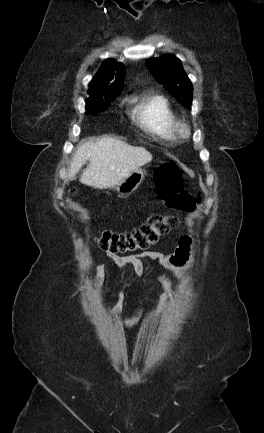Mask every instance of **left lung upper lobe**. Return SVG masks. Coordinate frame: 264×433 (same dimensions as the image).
Masks as SVG:
<instances>
[{"instance_id": "1", "label": "left lung upper lobe", "mask_w": 264, "mask_h": 433, "mask_svg": "<svg viewBox=\"0 0 264 433\" xmlns=\"http://www.w3.org/2000/svg\"><path fill=\"white\" fill-rule=\"evenodd\" d=\"M146 65L166 90L184 106L191 108L193 87L179 59L167 55L149 59Z\"/></svg>"}]
</instances>
